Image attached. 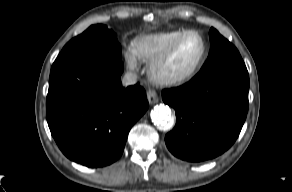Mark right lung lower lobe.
I'll use <instances>...</instances> for the list:
<instances>
[{
  "mask_svg": "<svg viewBox=\"0 0 292 192\" xmlns=\"http://www.w3.org/2000/svg\"><path fill=\"white\" fill-rule=\"evenodd\" d=\"M120 56L106 50L61 52L52 65L47 122L70 160L102 167L123 153L131 127L149 104L144 89L122 87Z\"/></svg>",
  "mask_w": 292,
  "mask_h": 192,
  "instance_id": "98d812e1",
  "label": "right lung lower lobe"
}]
</instances>
